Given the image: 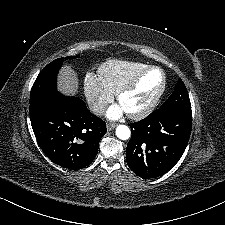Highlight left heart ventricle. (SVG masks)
Returning a JSON list of instances; mask_svg holds the SVG:
<instances>
[{"label": "left heart ventricle", "instance_id": "left-heart-ventricle-1", "mask_svg": "<svg viewBox=\"0 0 225 225\" xmlns=\"http://www.w3.org/2000/svg\"><path fill=\"white\" fill-rule=\"evenodd\" d=\"M162 82L161 74L149 71L141 80L138 87L126 94L119 102L126 113H138L145 108L158 92Z\"/></svg>", "mask_w": 225, "mask_h": 225}]
</instances>
